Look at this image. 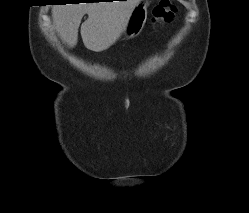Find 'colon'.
<instances>
[{"mask_svg":"<svg viewBox=\"0 0 249 213\" xmlns=\"http://www.w3.org/2000/svg\"><path fill=\"white\" fill-rule=\"evenodd\" d=\"M176 12L170 0H160L152 10V22L155 26H162L172 20Z\"/></svg>","mask_w":249,"mask_h":213,"instance_id":"5ec220e1","label":"colon"}]
</instances>
